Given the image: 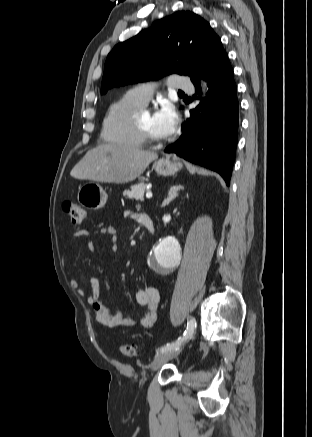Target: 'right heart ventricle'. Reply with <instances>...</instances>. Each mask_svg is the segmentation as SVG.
<instances>
[{
    "label": "right heart ventricle",
    "instance_id": "1",
    "mask_svg": "<svg viewBox=\"0 0 312 437\" xmlns=\"http://www.w3.org/2000/svg\"><path fill=\"white\" fill-rule=\"evenodd\" d=\"M143 107L128 93L112 103L103 119V139L113 145L142 147L144 143L134 127V115Z\"/></svg>",
    "mask_w": 312,
    "mask_h": 437
}]
</instances>
